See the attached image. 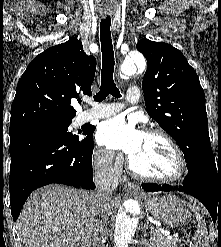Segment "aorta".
I'll return each mask as SVG.
<instances>
[{
    "mask_svg": "<svg viewBox=\"0 0 221 247\" xmlns=\"http://www.w3.org/2000/svg\"><path fill=\"white\" fill-rule=\"evenodd\" d=\"M145 59L139 53H131L124 60L120 71L125 75H131L136 67L145 68ZM138 225L136 216L128 215L124 210H120L116 217L114 228V242L116 247H129L131 237L134 235Z\"/></svg>",
    "mask_w": 221,
    "mask_h": 247,
    "instance_id": "762f6f07",
    "label": "aorta"
}]
</instances>
